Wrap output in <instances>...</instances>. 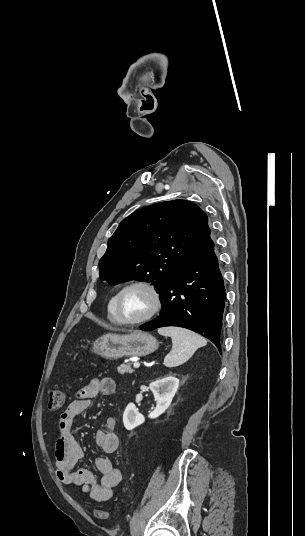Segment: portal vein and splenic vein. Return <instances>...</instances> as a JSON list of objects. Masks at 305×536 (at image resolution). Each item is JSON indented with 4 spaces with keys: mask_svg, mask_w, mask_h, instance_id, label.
Returning <instances> with one entry per match:
<instances>
[{
    "mask_svg": "<svg viewBox=\"0 0 305 536\" xmlns=\"http://www.w3.org/2000/svg\"><path fill=\"white\" fill-rule=\"evenodd\" d=\"M134 368H139L140 364L139 362H135V364H133Z\"/></svg>",
    "mask_w": 305,
    "mask_h": 536,
    "instance_id": "portal-vein-and-splenic-vein-1",
    "label": "portal vein and splenic vein"
}]
</instances>
